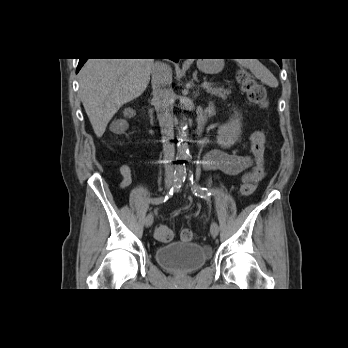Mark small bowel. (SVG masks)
I'll return each instance as SVG.
<instances>
[{"mask_svg":"<svg viewBox=\"0 0 348 348\" xmlns=\"http://www.w3.org/2000/svg\"><path fill=\"white\" fill-rule=\"evenodd\" d=\"M252 158L246 155L228 153L223 150L210 151L204 161V168L207 170L219 171L228 175H241V181H250L248 169L252 165ZM122 181L121 188L128 187L132 182L131 169L127 164L120 167Z\"/></svg>","mask_w":348,"mask_h":348,"instance_id":"obj_1","label":"small bowel"}]
</instances>
